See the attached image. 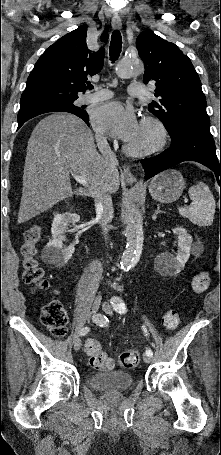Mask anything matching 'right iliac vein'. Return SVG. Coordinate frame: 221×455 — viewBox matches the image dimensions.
<instances>
[{
  "label": "right iliac vein",
  "instance_id": "right-iliac-vein-1",
  "mask_svg": "<svg viewBox=\"0 0 221 455\" xmlns=\"http://www.w3.org/2000/svg\"><path fill=\"white\" fill-rule=\"evenodd\" d=\"M101 304V298L96 297L93 301L92 309L94 312H96L99 309V306ZM81 348V340L77 339L74 343V349L78 351Z\"/></svg>",
  "mask_w": 221,
  "mask_h": 455
}]
</instances>
